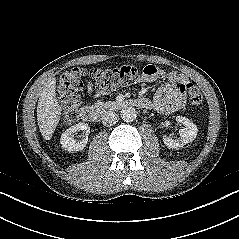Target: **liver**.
<instances>
[{"label": "liver", "mask_w": 239, "mask_h": 239, "mask_svg": "<svg viewBox=\"0 0 239 239\" xmlns=\"http://www.w3.org/2000/svg\"><path fill=\"white\" fill-rule=\"evenodd\" d=\"M56 79L50 78L45 84L37 106V120L41 135L50 140L59 121L61 109L56 99Z\"/></svg>", "instance_id": "liver-1"}]
</instances>
